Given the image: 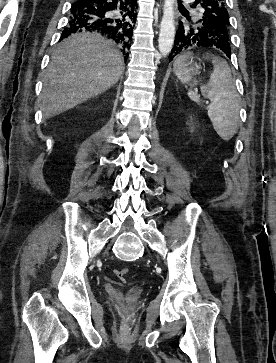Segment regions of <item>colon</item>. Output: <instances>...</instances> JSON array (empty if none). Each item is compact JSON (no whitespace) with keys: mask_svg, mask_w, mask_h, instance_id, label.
Instances as JSON below:
<instances>
[{"mask_svg":"<svg viewBox=\"0 0 276 363\" xmlns=\"http://www.w3.org/2000/svg\"><path fill=\"white\" fill-rule=\"evenodd\" d=\"M128 274V269L126 268H121V269H115L114 270V275L120 279V280H124L126 275Z\"/></svg>","mask_w":276,"mask_h":363,"instance_id":"colon-1","label":"colon"}]
</instances>
